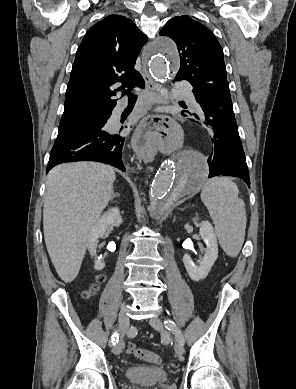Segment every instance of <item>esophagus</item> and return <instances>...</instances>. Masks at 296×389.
<instances>
[{"instance_id":"esophagus-1","label":"esophagus","mask_w":296,"mask_h":389,"mask_svg":"<svg viewBox=\"0 0 296 389\" xmlns=\"http://www.w3.org/2000/svg\"><path fill=\"white\" fill-rule=\"evenodd\" d=\"M143 77L147 89L154 94L160 90V86L150 76L147 68H144ZM158 112H149L145 122H138L133 133L131 147L136 151L138 157L155 158L154 139H158L163 135H170L180 127V122L176 118H172L171 113L168 117H158Z\"/></svg>"}]
</instances>
